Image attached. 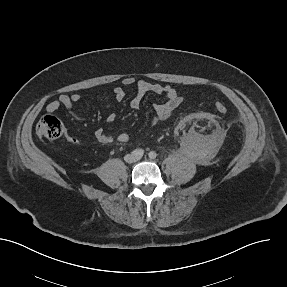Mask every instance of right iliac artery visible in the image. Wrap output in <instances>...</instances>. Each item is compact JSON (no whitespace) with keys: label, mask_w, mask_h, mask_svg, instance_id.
Instances as JSON below:
<instances>
[{"label":"right iliac artery","mask_w":287,"mask_h":287,"mask_svg":"<svg viewBox=\"0 0 287 287\" xmlns=\"http://www.w3.org/2000/svg\"><path fill=\"white\" fill-rule=\"evenodd\" d=\"M132 154L135 155V156L141 157V156H143V154H144V150H143V149H135V150L132 152Z\"/></svg>","instance_id":"1"}]
</instances>
